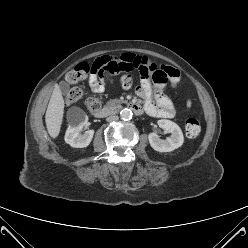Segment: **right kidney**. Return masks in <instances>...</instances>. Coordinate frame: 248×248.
<instances>
[{"label": "right kidney", "instance_id": "ca27d5eb", "mask_svg": "<svg viewBox=\"0 0 248 248\" xmlns=\"http://www.w3.org/2000/svg\"><path fill=\"white\" fill-rule=\"evenodd\" d=\"M88 121V116L79 108L73 107L68 112L69 126L65 133V142L75 148L87 147L94 135V130H88L83 135L79 131Z\"/></svg>", "mask_w": 248, "mask_h": 248}]
</instances>
